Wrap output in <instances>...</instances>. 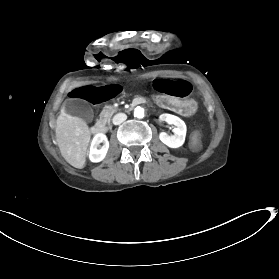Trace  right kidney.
Wrapping results in <instances>:
<instances>
[{
	"label": "right kidney",
	"mask_w": 279,
	"mask_h": 279,
	"mask_svg": "<svg viewBox=\"0 0 279 279\" xmlns=\"http://www.w3.org/2000/svg\"><path fill=\"white\" fill-rule=\"evenodd\" d=\"M103 143V146L100 144ZM109 148V142L106 135L99 133L96 134L92 140L89 158L92 162H100L106 156Z\"/></svg>",
	"instance_id": "right-kidney-1"
}]
</instances>
